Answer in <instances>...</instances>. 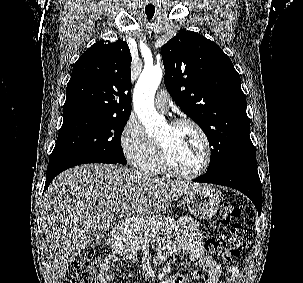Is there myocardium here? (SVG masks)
I'll use <instances>...</instances> for the list:
<instances>
[{"instance_id": "1", "label": "myocardium", "mask_w": 303, "mask_h": 283, "mask_svg": "<svg viewBox=\"0 0 303 283\" xmlns=\"http://www.w3.org/2000/svg\"><path fill=\"white\" fill-rule=\"evenodd\" d=\"M169 126H171V127H180V126L192 127L201 138L203 148H204V159H203L201 166L197 170H195L193 172H182L173 165V163L169 157L168 151H167L166 147L164 146V144L156 139L157 153H158V158H159V162H160L162 169L166 173H168L174 177L184 178V179H193V178H197V177L201 176L202 174H204L207 171V169L209 168V166L211 164V160H212V147H211V143H210V140H209L206 132L203 130V128L197 122H195L194 120H191V119H186V118L174 120L169 124Z\"/></svg>"}]
</instances>
